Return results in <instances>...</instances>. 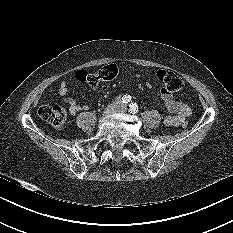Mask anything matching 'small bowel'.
Returning <instances> with one entry per match:
<instances>
[{"instance_id": "obj_1", "label": "small bowel", "mask_w": 233, "mask_h": 233, "mask_svg": "<svg viewBox=\"0 0 233 233\" xmlns=\"http://www.w3.org/2000/svg\"><path fill=\"white\" fill-rule=\"evenodd\" d=\"M68 83L62 81L59 87V95L62 100L69 106V112L72 115L77 114L80 111L87 110L89 107L86 104L78 103L74 98L67 96ZM161 97L165 103L167 110L172 114L164 118V124L166 126L178 127L181 126L188 117L191 116V108L181 102L180 99L174 97L171 94L161 90Z\"/></svg>"}]
</instances>
